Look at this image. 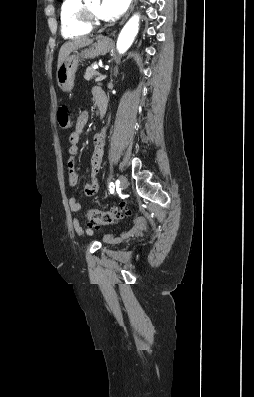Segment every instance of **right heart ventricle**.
<instances>
[{
  "label": "right heart ventricle",
  "instance_id": "right-heart-ventricle-1",
  "mask_svg": "<svg viewBox=\"0 0 254 397\" xmlns=\"http://www.w3.org/2000/svg\"><path fill=\"white\" fill-rule=\"evenodd\" d=\"M82 0H63L60 7L61 34L64 38L75 39L88 34V28L81 19Z\"/></svg>",
  "mask_w": 254,
  "mask_h": 397
}]
</instances>
